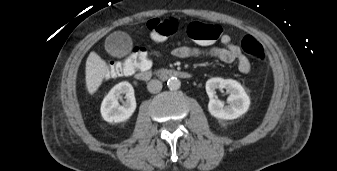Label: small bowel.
Returning <instances> with one entry per match:
<instances>
[{"label":"small bowel","mask_w":337,"mask_h":171,"mask_svg":"<svg viewBox=\"0 0 337 171\" xmlns=\"http://www.w3.org/2000/svg\"><path fill=\"white\" fill-rule=\"evenodd\" d=\"M172 54L177 58L187 59L200 56L216 58L225 63L237 62L241 73L247 74L251 71L249 59L241 52L240 48L234 44L232 38L225 34L221 37L220 47H193L189 45H178L172 50Z\"/></svg>","instance_id":"1"}]
</instances>
